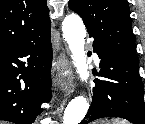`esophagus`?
Here are the masks:
<instances>
[{
	"instance_id": "1",
	"label": "esophagus",
	"mask_w": 145,
	"mask_h": 124,
	"mask_svg": "<svg viewBox=\"0 0 145 124\" xmlns=\"http://www.w3.org/2000/svg\"><path fill=\"white\" fill-rule=\"evenodd\" d=\"M69 68V59L67 55L62 52L60 56L58 57L56 61V70L59 73V80L58 84L62 92L66 95H70L74 91V82L72 77H60V74H62L63 71L67 70Z\"/></svg>"
}]
</instances>
